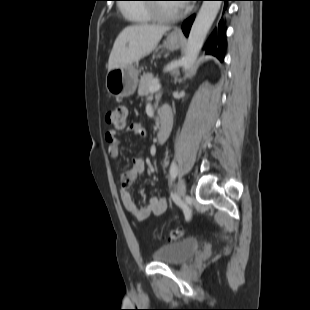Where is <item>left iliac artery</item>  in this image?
Here are the masks:
<instances>
[{
    "label": "left iliac artery",
    "instance_id": "left-iliac-artery-1",
    "mask_svg": "<svg viewBox=\"0 0 310 310\" xmlns=\"http://www.w3.org/2000/svg\"><path fill=\"white\" fill-rule=\"evenodd\" d=\"M169 173H170L171 181H174L178 174V167L174 161L171 163ZM171 197L173 201L175 202V204L182 209L184 216H185V220L189 221L192 217L191 209L175 194L171 193Z\"/></svg>",
    "mask_w": 310,
    "mask_h": 310
}]
</instances>
